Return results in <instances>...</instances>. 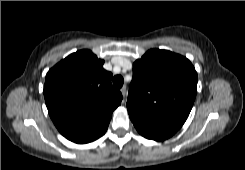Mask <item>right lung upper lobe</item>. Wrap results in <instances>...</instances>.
Here are the masks:
<instances>
[{
    "label": "right lung upper lobe",
    "instance_id": "obj_1",
    "mask_svg": "<svg viewBox=\"0 0 245 170\" xmlns=\"http://www.w3.org/2000/svg\"><path fill=\"white\" fill-rule=\"evenodd\" d=\"M90 50L77 51L51 68L44 85L49 115L68 140L86 144L107 130L122 94L111 85L112 73Z\"/></svg>",
    "mask_w": 245,
    "mask_h": 170
}]
</instances>
